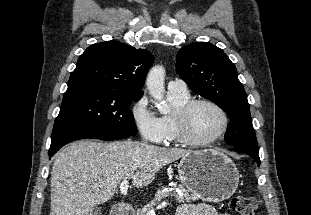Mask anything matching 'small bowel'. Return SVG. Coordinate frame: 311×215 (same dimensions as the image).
Masks as SVG:
<instances>
[{"label": "small bowel", "instance_id": "small-bowel-1", "mask_svg": "<svg viewBox=\"0 0 311 215\" xmlns=\"http://www.w3.org/2000/svg\"><path fill=\"white\" fill-rule=\"evenodd\" d=\"M176 215H230L227 213H219L213 207L206 204H184L181 205Z\"/></svg>", "mask_w": 311, "mask_h": 215}]
</instances>
